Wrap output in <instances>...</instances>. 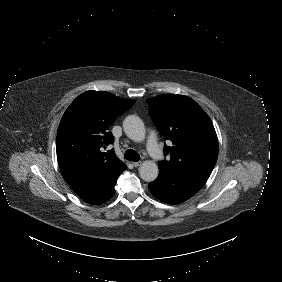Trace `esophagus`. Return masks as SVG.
<instances>
[{"instance_id":"34e87169","label":"esophagus","mask_w":282,"mask_h":282,"mask_svg":"<svg viewBox=\"0 0 282 282\" xmlns=\"http://www.w3.org/2000/svg\"><path fill=\"white\" fill-rule=\"evenodd\" d=\"M132 164H133L134 167H139L142 164V162L137 161V162H133Z\"/></svg>"}]
</instances>
